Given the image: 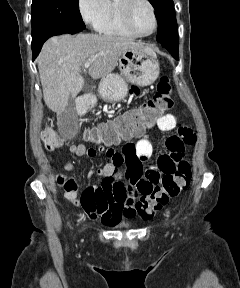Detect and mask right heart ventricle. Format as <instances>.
Masks as SVG:
<instances>
[{
    "label": "right heart ventricle",
    "instance_id": "right-heart-ventricle-1",
    "mask_svg": "<svg viewBox=\"0 0 240 288\" xmlns=\"http://www.w3.org/2000/svg\"><path fill=\"white\" fill-rule=\"evenodd\" d=\"M97 30L107 35L135 37L122 23L119 0H108L106 14L99 23Z\"/></svg>",
    "mask_w": 240,
    "mask_h": 288
}]
</instances>
